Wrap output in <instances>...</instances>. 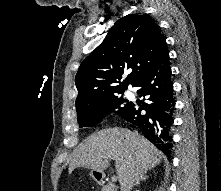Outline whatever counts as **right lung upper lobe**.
<instances>
[{"instance_id":"1","label":"right lung upper lobe","mask_w":221,"mask_h":191,"mask_svg":"<svg viewBox=\"0 0 221 191\" xmlns=\"http://www.w3.org/2000/svg\"><path fill=\"white\" fill-rule=\"evenodd\" d=\"M167 52L154 19L139 13L121 18L79 67L75 77L77 113L123 94L129 84L134 87ZM127 71L130 74L121 82Z\"/></svg>"}]
</instances>
